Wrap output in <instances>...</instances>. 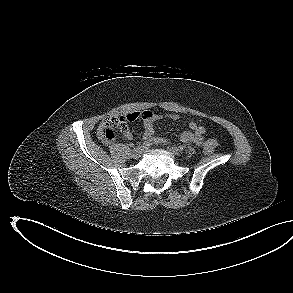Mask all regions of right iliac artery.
Returning <instances> with one entry per match:
<instances>
[{
  "instance_id": "right-iliac-artery-1",
  "label": "right iliac artery",
  "mask_w": 293,
  "mask_h": 293,
  "mask_svg": "<svg viewBox=\"0 0 293 293\" xmlns=\"http://www.w3.org/2000/svg\"><path fill=\"white\" fill-rule=\"evenodd\" d=\"M149 146H150V142H148V141H144L141 147H143V148H147V147H149Z\"/></svg>"
}]
</instances>
